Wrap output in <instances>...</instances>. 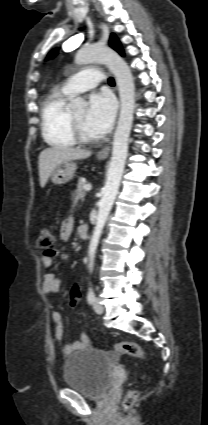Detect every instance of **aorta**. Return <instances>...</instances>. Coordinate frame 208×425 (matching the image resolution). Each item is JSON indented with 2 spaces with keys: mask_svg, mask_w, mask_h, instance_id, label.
Returning <instances> with one entry per match:
<instances>
[{
  "mask_svg": "<svg viewBox=\"0 0 208 425\" xmlns=\"http://www.w3.org/2000/svg\"><path fill=\"white\" fill-rule=\"evenodd\" d=\"M93 62L106 64L114 74L119 88L121 109L113 138L112 157L107 172V180L102 191L103 195L99 202L96 225L88 248L90 270L94 266V258L99 239L120 186L128 153V139L135 108L133 76L129 66L122 57L108 47L97 45L84 47L75 56V63L78 65ZM72 105L74 108H80L85 105V101L81 97H77L72 100Z\"/></svg>",
  "mask_w": 208,
  "mask_h": 425,
  "instance_id": "762f6f07",
  "label": "aorta"
}]
</instances>
